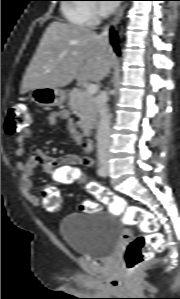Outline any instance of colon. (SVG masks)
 <instances>
[{"label":"colon","mask_w":180,"mask_h":299,"mask_svg":"<svg viewBox=\"0 0 180 299\" xmlns=\"http://www.w3.org/2000/svg\"><path fill=\"white\" fill-rule=\"evenodd\" d=\"M32 119L33 114L27 105H13L8 109L6 115L5 131L7 134L13 135L25 129ZM86 188L111 212L120 215L126 225L136 226L141 232L130 240L123 254V261L127 269L135 268L155 252L164 250V237L159 233L158 220L152 213L143 207L128 205L124 198L95 182L87 183ZM42 204L47 212H57L61 206L59 190L54 186H47L42 191ZM79 208L85 213H91L98 211L99 205L92 200H84L80 203Z\"/></svg>","instance_id":"1"}]
</instances>
